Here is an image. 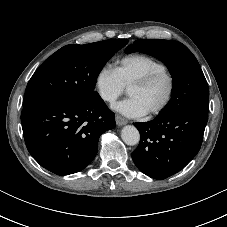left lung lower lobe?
Instances as JSON below:
<instances>
[{"instance_id": "left-lung-lower-lobe-1", "label": "left lung lower lobe", "mask_w": 227, "mask_h": 227, "mask_svg": "<svg viewBox=\"0 0 227 227\" xmlns=\"http://www.w3.org/2000/svg\"><path fill=\"white\" fill-rule=\"evenodd\" d=\"M207 116L178 112L134 123L140 142L132 153L137 168L151 178L163 180L182 170L200 150Z\"/></svg>"}]
</instances>
